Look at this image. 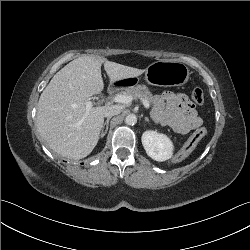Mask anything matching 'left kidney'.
Segmentation results:
<instances>
[{"label": "left kidney", "instance_id": "5707ae66", "mask_svg": "<svg viewBox=\"0 0 250 250\" xmlns=\"http://www.w3.org/2000/svg\"><path fill=\"white\" fill-rule=\"evenodd\" d=\"M142 144L147 155L156 161H165L172 157L173 144L164 134L145 131L142 134Z\"/></svg>", "mask_w": 250, "mask_h": 250}]
</instances>
